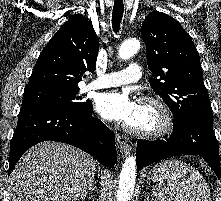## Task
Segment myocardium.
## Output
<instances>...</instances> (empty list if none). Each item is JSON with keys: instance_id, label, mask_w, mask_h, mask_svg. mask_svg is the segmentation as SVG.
<instances>
[{"instance_id": "myocardium-1", "label": "myocardium", "mask_w": 221, "mask_h": 201, "mask_svg": "<svg viewBox=\"0 0 221 201\" xmlns=\"http://www.w3.org/2000/svg\"><path fill=\"white\" fill-rule=\"evenodd\" d=\"M139 106L153 107L158 116V123L155 127L142 129L130 124L125 125V129L141 137H161L168 134L173 128V115L167 104L159 97L153 95H144L138 99Z\"/></svg>"}]
</instances>
